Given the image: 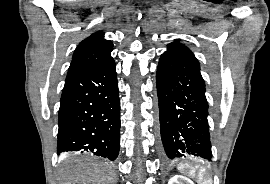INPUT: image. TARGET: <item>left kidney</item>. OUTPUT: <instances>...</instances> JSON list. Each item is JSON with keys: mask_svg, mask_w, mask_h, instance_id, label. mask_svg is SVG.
I'll return each instance as SVG.
<instances>
[{"mask_svg": "<svg viewBox=\"0 0 270 184\" xmlns=\"http://www.w3.org/2000/svg\"><path fill=\"white\" fill-rule=\"evenodd\" d=\"M168 184H194L189 178L175 175L174 177L170 178Z\"/></svg>", "mask_w": 270, "mask_h": 184, "instance_id": "5707ae66", "label": "left kidney"}]
</instances>
